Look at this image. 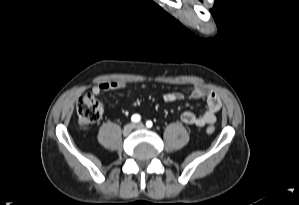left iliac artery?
<instances>
[{"mask_svg": "<svg viewBox=\"0 0 299 205\" xmlns=\"http://www.w3.org/2000/svg\"><path fill=\"white\" fill-rule=\"evenodd\" d=\"M152 125H153L152 121H147V122H146V126H147L148 128H151Z\"/></svg>", "mask_w": 299, "mask_h": 205, "instance_id": "left-iliac-artery-1", "label": "left iliac artery"}]
</instances>
